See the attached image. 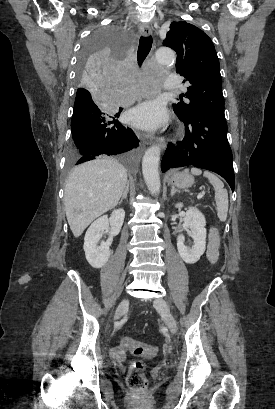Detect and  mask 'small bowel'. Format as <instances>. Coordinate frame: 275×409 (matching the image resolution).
I'll use <instances>...</instances> for the list:
<instances>
[{"mask_svg":"<svg viewBox=\"0 0 275 409\" xmlns=\"http://www.w3.org/2000/svg\"><path fill=\"white\" fill-rule=\"evenodd\" d=\"M219 237L215 230H212L209 235V242L207 246L206 255L211 263H215L219 256ZM113 357L116 361L122 362L126 359L125 351L121 348L113 349Z\"/></svg>","mask_w":275,"mask_h":409,"instance_id":"obj_1","label":"small bowel"}]
</instances>
